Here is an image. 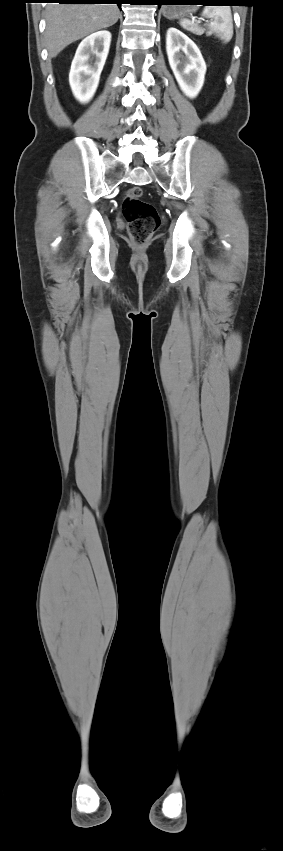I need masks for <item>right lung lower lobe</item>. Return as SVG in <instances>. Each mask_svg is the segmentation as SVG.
Instances as JSON below:
<instances>
[{
    "label": "right lung lower lobe",
    "mask_w": 283,
    "mask_h": 851,
    "mask_svg": "<svg viewBox=\"0 0 283 851\" xmlns=\"http://www.w3.org/2000/svg\"><path fill=\"white\" fill-rule=\"evenodd\" d=\"M51 3H65V4H120L124 3L126 0H46Z\"/></svg>",
    "instance_id": "98d812e1"
}]
</instances>
